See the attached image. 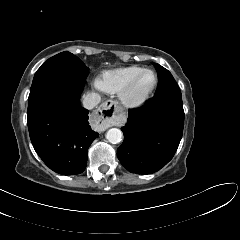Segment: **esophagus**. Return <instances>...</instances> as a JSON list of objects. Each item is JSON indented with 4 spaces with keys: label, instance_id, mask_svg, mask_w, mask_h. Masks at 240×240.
Listing matches in <instances>:
<instances>
[{
    "label": "esophagus",
    "instance_id": "34e87169",
    "mask_svg": "<svg viewBox=\"0 0 240 240\" xmlns=\"http://www.w3.org/2000/svg\"><path fill=\"white\" fill-rule=\"evenodd\" d=\"M117 103L112 100H108L101 104V106L95 112V121L99 126L108 128L113 125L117 117Z\"/></svg>",
    "mask_w": 240,
    "mask_h": 240
}]
</instances>
